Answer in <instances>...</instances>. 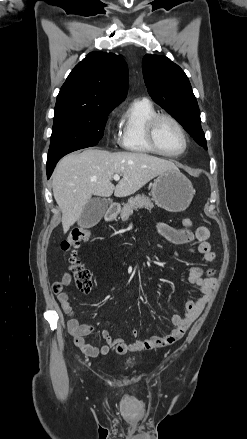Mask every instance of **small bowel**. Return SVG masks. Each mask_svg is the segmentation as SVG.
Instances as JSON below:
<instances>
[{
  "mask_svg": "<svg viewBox=\"0 0 247 439\" xmlns=\"http://www.w3.org/2000/svg\"><path fill=\"white\" fill-rule=\"evenodd\" d=\"M157 232L168 242L175 245H184L194 239L198 240L197 251L203 256L206 262H213L216 259V252L211 249L210 231L204 226H200L195 232L189 229H177L166 223L160 222L156 225ZM176 256L177 253H174ZM205 273V275H204ZM215 270L207 269L205 272L199 266L190 268L188 280L195 285L201 296L195 300H189L185 304V313L183 315H173L171 318L174 328L162 336H152L148 339H138L134 342H127L122 338L113 339L108 330L101 331V337L105 341L102 346H95L86 341V336L95 329L93 324H80L75 317V312L69 301L68 295L63 291L65 285L71 282V276L66 274L61 281H56L52 285V291L56 295L62 311L67 315V329L72 336L75 345L87 356L97 357L106 355L111 350L118 354H124L128 351L153 350L169 346L180 340L193 320L202 312L209 301L210 294L216 283L214 277ZM132 336L137 338L139 332L137 329L132 330Z\"/></svg>",
  "mask_w": 247,
  "mask_h": 439,
  "instance_id": "small-bowel-1",
  "label": "small bowel"
}]
</instances>
